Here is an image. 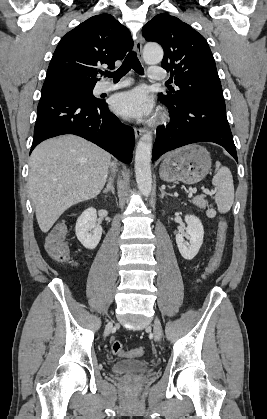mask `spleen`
<instances>
[{
    "instance_id": "3e777b00",
    "label": "spleen",
    "mask_w": 267,
    "mask_h": 419,
    "mask_svg": "<svg viewBox=\"0 0 267 419\" xmlns=\"http://www.w3.org/2000/svg\"><path fill=\"white\" fill-rule=\"evenodd\" d=\"M212 184L217 188L214 197L218 211L222 214L227 213L234 202V184L231 171L222 166L219 161L216 162V172L212 179Z\"/></svg>"
}]
</instances>
